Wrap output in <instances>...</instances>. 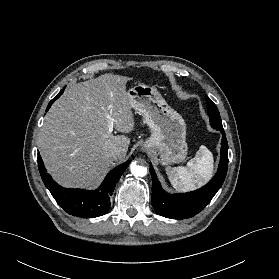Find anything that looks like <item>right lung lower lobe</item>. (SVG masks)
<instances>
[{
  "label": "right lung lower lobe",
  "mask_w": 279,
  "mask_h": 279,
  "mask_svg": "<svg viewBox=\"0 0 279 279\" xmlns=\"http://www.w3.org/2000/svg\"><path fill=\"white\" fill-rule=\"evenodd\" d=\"M50 101L46 111L52 103L63 93ZM130 160L112 169L104 179L99 189L87 191L83 189H67L58 185L47 173L40 154L38 153V168L45 186L49 189L56 202L70 215L77 217H98L110 210V196L115 188V183L130 164Z\"/></svg>",
  "instance_id": "right-lung-lower-lobe-1"
}]
</instances>
